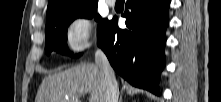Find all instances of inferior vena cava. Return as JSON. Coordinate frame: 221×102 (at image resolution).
<instances>
[{"mask_svg":"<svg viewBox=\"0 0 221 102\" xmlns=\"http://www.w3.org/2000/svg\"><path fill=\"white\" fill-rule=\"evenodd\" d=\"M95 63L103 72L105 88L104 102H118L119 89L114 71L105 53L99 48L95 52Z\"/></svg>","mask_w":221,"mask_h":102,"instance_id":"obj_1","label":"inferior vena cava"}]
</instances>
